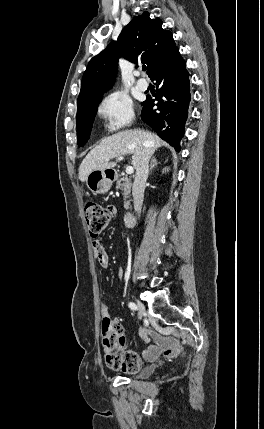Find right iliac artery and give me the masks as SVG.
Wrapping results in <instances>:
<instances>
[{
  "label": "right iliac artery",
  "mask_w": 264,
  "mask_h": 429,
  "mask_svg": "<svg viewBox=\"0 0 264 429\" xmlns=\"http://www.w3.org/2000/svg\"><path fill=\"white\" fill-rule=\"evenodd\" d=\"M128 306H129V308L131 309V310H137L138 308H137V306H136V304L135 303H133V302H130L129 304H128Z\"/></svg>",
  "instance_id": "82829eb1"
}]
</instances>
